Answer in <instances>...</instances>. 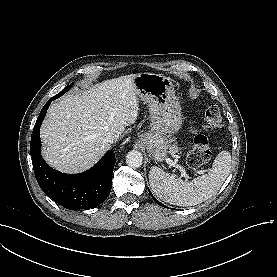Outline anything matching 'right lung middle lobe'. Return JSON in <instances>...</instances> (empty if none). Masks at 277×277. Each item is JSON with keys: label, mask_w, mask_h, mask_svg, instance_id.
Listing matches in <instances>:
<instances>
[{"label": "right lung middle lobe", "mask_w": 277, "mask_h": 277, "mask_svg": "<svg viewBox=\"0 0 277 277\" xmlns=\"http://www.w3.org/2000/svg\"><path fill=\"white\" fill-rule=\"evenodd\" d=\"M70 87H71V85L68 84L60 93H58L57 95L53 96L52 99L55 100V99L59 98L64 93H66L69 90Z\"/></svg>", "instance_id": "right-lung-middle-lobe-1"}]
</instances>
